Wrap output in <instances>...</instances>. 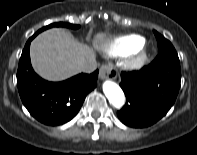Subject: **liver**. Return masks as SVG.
I'll list each match as a JSON object with an SVG mask.
<instances>
[{
  "label": "liver",
  "instance_id": "1",
  "mask_svg": "<svg viewBox=\"0 0 197 155\" xmlns=\"http://www.w3.org/2000/svg\"><path fill=\"white\" fill-rule=\"evenodd\" d=\"M105 38V33L96 35L94 45L97 49ZM30 56L34 70L50 81L67 79L79 73L83 64L96 59L92 48L74 40L61 28L39 34L31 42Z\"/></svg>",
  "mask_w": 197,
  "mask_h": 155
}]
</instances>
